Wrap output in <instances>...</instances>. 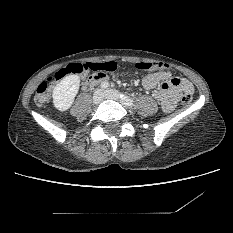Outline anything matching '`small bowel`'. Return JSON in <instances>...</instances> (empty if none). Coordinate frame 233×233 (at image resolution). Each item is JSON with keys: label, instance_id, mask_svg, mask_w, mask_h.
<instances>
[{"label": "small bowel", "instance_id": "small-bowel-1", "mask_svg": "<svg viewBox=\"0 0 233 233\" xmlns=\"http://www.w3.org/2000/svg\"><path fill=\"white\" fill-rule=\"evenodd\" d=\"M92 64H84L83 76L89 70H93L91 67ZM106 64L115 67L116 61L109 60ZM142 86L144 89L152 91L153 98L158 101L162 110L166 113H170L175 109L176 103L182 93L193 94L194 91L193 85L189 80L173 77L170 69L150 72L143 78Z\"/></svg>", "mask_w": 233, "mask_h": 233}]
</instances>
